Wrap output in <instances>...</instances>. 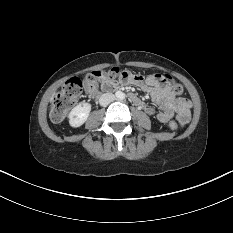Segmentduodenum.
Wrapping results in <instances>:
<instances>
[{"instance_id": "410a0bca", "label": "duodenum", "mask_w": 233, "mask_h": 233, "mask_svg": "<svg viewBox=\"0 0 233 233\" xmlns=\"http://www.w3.org/2000/svg\"><path fill=\"white\" fill-rule=\"evenodd\" d=\"M128 97H129V99H130L133 103H135L136 105H139V104H140V100H139L134 94L130 93V94L128 95Z\"/></svg>"}]
</instances>
